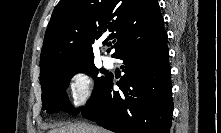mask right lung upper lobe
Masks as SVG:
<instances>
[{"label": "right lung upper lobe", "instance_id": "cb5924a9", "mask_svg": "<svg viewBox=\"0 0 221 133\" xmlns=\"http://www.w3.org/2000/svg\"><path fill=\"white\" fill-rule=\"evenodd\" d=\"M165 35L157 0H61L45 33L41 73L56 64L94 62L92 46L104 36L114 39L116 58Z\"/></svg>", "mask_w": 221, "mask_h": 133}]
</instances>
